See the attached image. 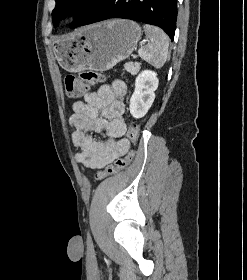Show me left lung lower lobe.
<instances>
[{"mask_svg":"<svg viewBox=\"0 0 247 280\" xmlns=\"http://www.w3.org/2000/svg\"><path fill=\"white\" fill-rule=\"evenodd\" d=\"M109 18L131 19L156 25L173 40L177 20V0H106L79 26Z\"/></svg>","mask_w":247,"mask_h":280,"instance_id":"obj_1","label":"left lung lower lobe"}]
</instances>
